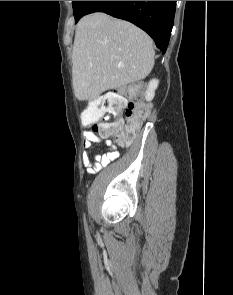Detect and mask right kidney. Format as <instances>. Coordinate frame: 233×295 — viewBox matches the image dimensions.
<instances>
[{"instance_id": "ca27d5eb", "label": "right kidney", "mask_w": 233, "mask_h": 295, "mask_svg": "<svg viewBox=\"0 0 233 295\" xmlns=\"http://www.w3.org/2000/svg\"><path fill=\"white\" fill-rule=\"evenodd\" d=\"M159 84V80L157 79H152L148 86H147V90L145 92V99L146 101H151L154 96H155V90L157 89Z\"/></svg>"}]
</instances>
